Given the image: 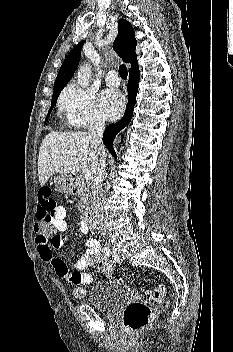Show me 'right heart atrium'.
<instances>
[{
	"label": "right heart atrium",
	"mask_w": 233,
	"mask_h": 352,
	"mask_svg": "<svg viewBox=\"0 0 233 352\" xmlns=\"http://www.w3.org/2000/svg\"><path fill=\"white\" fill-rule=\"evenodd\" d=\"M58 109L67 124L73 128L104 124L94 95L76 83H70L63 89L58 100Z\"/></svg>",
	"instance_id": "1"
}]
</instances>
